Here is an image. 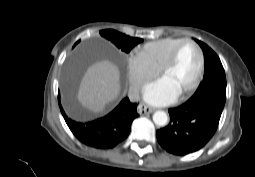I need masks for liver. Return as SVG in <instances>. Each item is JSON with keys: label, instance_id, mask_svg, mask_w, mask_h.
<instances>
[{"label": "liver", "instance_id": "6515ba94", "mask_svg": "<svg viewBox=\"0 0 255 177\" xmlns=\"http://www.w3.org/2000/svg\"><path fill=\"white\" fill-rule=\"evenodd\" d=\"M120 73L117 66L102 60L88 67L81 79L77 99L86 110L102 112L120 93Z\"/></svg>", "mask_w": 255, "mask_h": 177}]
</instances>
